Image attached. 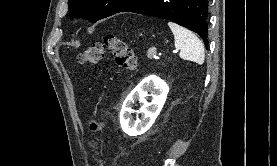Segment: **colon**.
Returning a JSON list of instances; mask_svg holds the SVG:
<instances>
[{"label":"colon","instance_id":"obj_1","mask_svg":"<svg viewBox=\"0 0 277 166\" xmlns=\"http://www.w3.org/2000/svg\"><path fill=\"white\" fill-rule=\"evenodd\" d=\"M106 52H109L116 60V63L127 72H135L138 66L137 56L133 49L116 35H107L103 42L94 43L78 55V62L81 64H97L102 61ZM103 129V123L94 119L90 123V130L95 135L91 140L94 149H100L102 140L98 136ZM96 166H105V159L102 156L96 158Z\"/></svg>","mask_w":277,"mask_h":166}]
</instances>
